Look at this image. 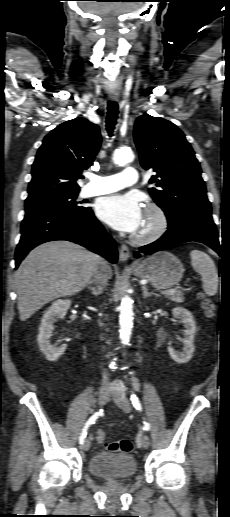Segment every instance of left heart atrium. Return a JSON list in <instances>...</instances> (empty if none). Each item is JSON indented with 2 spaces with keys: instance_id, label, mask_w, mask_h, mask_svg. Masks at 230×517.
<instances>
[{
  "instance_id": "39dd6f15",
  "label": "left heart atrium",
  "mask_w": 230,
  "mask_h": 517,
  "mask_svg": "<svg viewBox=\"0 0 230 517\" xmlns=\"http://www.w3.org/2000/svg\"><path fill=\"white\" fill-rule=\"evenodd\" d=\"M98 217L112 228L135 233L139 229L144 211L136 195H112L99 200L96 206Z\"/></svg>"
}]
</instances>
